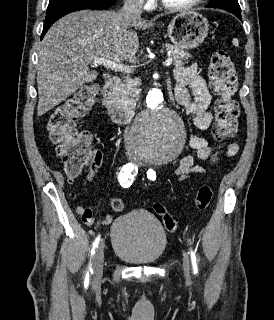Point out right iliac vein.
Here are the masks:
<instances>
[{
  "label": "right iliac vein",
  "mask_w": 274,
  "mask_h": 320,
  "mask_svg": "<svg viewBox=\"0 0 274 320\" xmlns=\"http://www.w3.org/2000/svg\"><path fill=\"white\" fill-rule=\"evenodd\" d=\"M104 248L105 244L102 241L96 248V253L93 261V286L98 287L101 283L103 275V263H104Z\"/></svg>",
  "instance_id": "1"
}]
</instances>
